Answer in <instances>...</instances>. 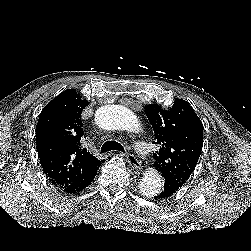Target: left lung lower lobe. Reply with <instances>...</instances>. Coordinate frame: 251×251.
<instances>
[{
  "instance_id": "1",
  "label": "left lung lower lobe",
  "mask_w": 251,
  "mask_h": 251,
  "mask_svg": "<svg viewBox=\"0 0 251 251\" xmlns=\"http://www.w3.org/2000/svg\"><path fill=\"white\" fill-rule=\"evenodd\" d=\"M164 186L161 191L154 197L155 200H163L172 196L181 186L172 177L165 176Z\"/></svg>"
}]
</instances>
